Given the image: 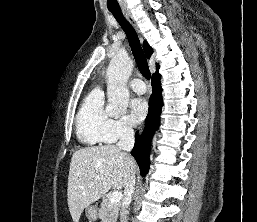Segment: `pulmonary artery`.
<instances>
[{"label":"pulmonary artery","instance_id":"obj_1","mask_svg":"<svg viewBox=\"0 0 257 222\" xmlns=\"http://www.w3.org/2000/svg\"><path fill=\"white\" fill-rule=\"evenodd\" d=\"M130 87L138 94H143L147 90L145 83L140 79L131 80Z\"/></svg>","mask_w":257,"mask_h":222}]
</instances>
